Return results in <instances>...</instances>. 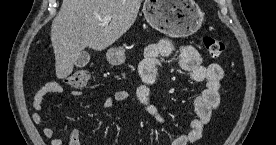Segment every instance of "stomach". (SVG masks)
I'll return each mask as SVG.
<instances>
[{"label":"stomach","instance_id":"stomach-1","mask_svg":"<svg viewBox=\"0 0 276 145\" xmlns=\"http://www.w3.org/2000/svg\"><path fill=\"white\" fill-rule=\"evenodd\" d=\"M143 13L152 28L175 38L192 35L203 22V13L194 0H145ZM125 59L123 47L107 51L112 65H120Z\"/></svg>","mask_w":276,"mask_h":145}]
</instances>
